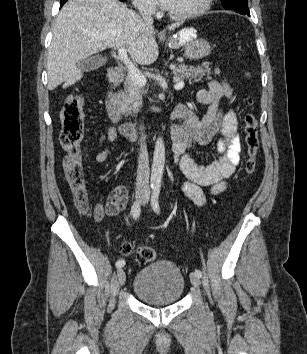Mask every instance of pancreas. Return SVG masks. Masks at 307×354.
I'll return each instance as SVG.
<instances>
[{
	"label": "pancreas",
	"mask_w": 307,
	"mask_h": 354,
	"mask_svg": "<svg viewBox=\"0 0 307 354\" xmlns=\"http://www.w3.org/2000/svg\"><path fill=\"white\" fill-rule=\"evenodd\" d=\"M213 72L209 68L208 64L187 66L184 64L179 65L173 70L174 81L188 80L189 83H197L204 78L206 80L211 79ZM215 75L220 74L219 69H214ZM144 90L135 84L128 75L124 82V91L120 92L121 96V109L127 114L137 113L142 105V94Z\"/></svg>",
	"instance_id": "pancreas-1"
}]
</instances>
